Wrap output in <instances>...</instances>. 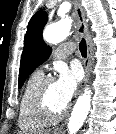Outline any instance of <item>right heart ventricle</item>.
<instances>
[{"label":"right heart ventricle","mask_w":116,"mask_h":134,"mask_svg":"<svg viewBox=\"0 0 116 134\" xmlns=\"http://www.w3.org/2000/svg\"><path fill=\"white\" fill-rule=\"evenodd\" d=\"M43 78V72L40 70L34 71L27 79L22 90L18 114V124L22 131L38 132L44 129L50 122L49 120L39 117L31 106L32 93Z\"/></svg>","instance_id":"obj_1"}]
</instances>
